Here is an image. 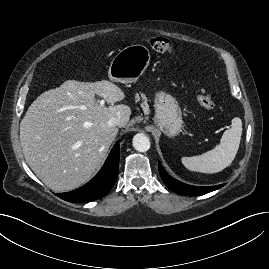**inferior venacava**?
Here are the masks:
<instances>
[{"instance_id":"602c4592","label":"inferior vena cava","mask_w":269,"mask_h":269,"mask_svg":"<svg viewBox=\"0 0 269 269\" xmlns=\"http://www.w3.org/2000/svg\"><path fill=\"white\" fill-rule=\"evenodd\" d=\"M120 123H121L120 118L112 117V118L109 119L107 124H108L109 127L114 128V127L120 126Z\"/></svg>"}]
</instances>
